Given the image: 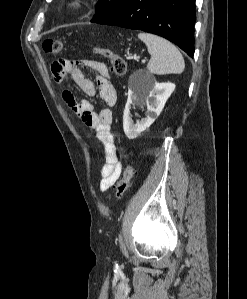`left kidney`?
<instances>
[{
    "instance_id": "obj_1",
    "label": "left kidney",
    "mask_w": 247,
    "mask_h": 299,
    "mask_svg": "<svg viewBox=\"0 0 247 299\" xmlns=\"http://www.w3.org/2000/svg\"><path fill=\"white\" fill-rule=\"evenodd\" d=\"M175 89L174 83L156 82L148 91L142 92L131 88L128 92L127 106L123 115L124 133L129 139H135L150 127L162 112L166 101ZM135 105H146L148 116L134 124L130 108Z\"/></svg>"
}]
</instances>
